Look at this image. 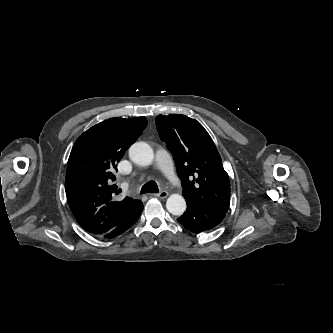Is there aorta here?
Returning a JSON list of instances; mask_svg holds the SVG:
<instances>
[{
  "instance_id": "1",
  "label": "aorta",
  "mask_w": 333,
  "mask_h": 333,
  "mask_svg": "<svg viewBox=\"0 0 333 333\" xmlns=\"http://www.w3.org/2000/svg\"><path fill=\"white\" fill-rule=\"evenodd\" d=\"M129 157L137 165L148 166L154 160V153L147 143L136 142L129 149ZM166 208L171 214L180 216L186 210L185 199L179 194H172L166 201Z\"/></svg>"
}]
</instances>
